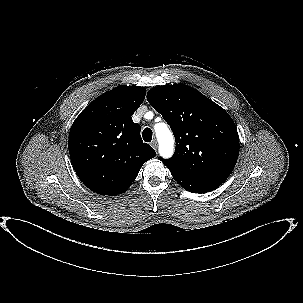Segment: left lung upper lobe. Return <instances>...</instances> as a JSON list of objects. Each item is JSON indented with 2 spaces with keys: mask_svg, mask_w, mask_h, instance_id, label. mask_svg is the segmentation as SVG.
Instances as JSON below:
<instances>
[{
  "mask_svg": "<svg viewBox=\"0 0 303 303\" xmlns=\"http://www.w3.org/2000/svg\"><path fill=\"white\" fill-rule=\"evenodd\" d=\"M147 100L175 136L173 157L159 158L171 172L186 176L232 173L239 155V137L222 107L184 84L152 88Z\"/></svg>",
  "mask_w": 303,
  "mask_h": 303,
  "instance_id": "obj_1",
  "label": "left lung upper lobe"
}]
</instances>
